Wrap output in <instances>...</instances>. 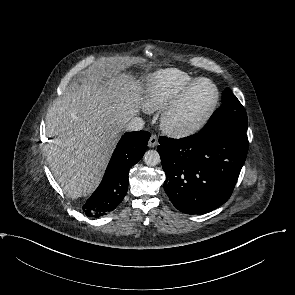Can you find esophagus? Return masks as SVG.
Segmentation results:
<instances>
[{"instance_id": "34e87169", "label": "esophagus", "mask_w": 295, "mask_h": 295, "mask_svg": "<svg viewBox=\"0 0 295 295\" xmlns=\"http://www.w3.org/2000/svg\"><path fill=\"white\" fill-rule=\"evenodd\" d=\"M157 145H158V137L155 134H152L150 139H149L148 146L150 148H154Z\"/></svg>"}]
</instances>
